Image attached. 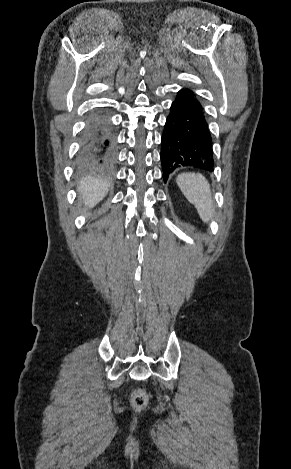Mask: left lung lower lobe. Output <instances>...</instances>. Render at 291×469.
<instances>
[{
  "label": "left lung lower lobe",
  "mask_w": 291,
  "mask_h": 469,
  "mask_svg": "<svg viewBox=\"0 0 291 469\" xmlns=\"http://www.w3.org/2000/svg\"><path fill=\"white\" fill-rule=\"evenodd\" d=\"M163 178L175 169L214 167L212 138L200 102L188 89L180 90L172 103L161 140Z\"/></svg>",
  "instance_id": "0a47b994"
}]
</instances>
